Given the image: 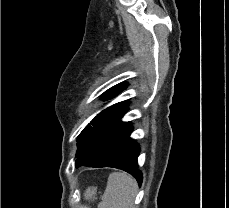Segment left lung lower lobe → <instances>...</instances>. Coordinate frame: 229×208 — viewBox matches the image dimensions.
<instances>
[{
  "label": "left lung lower lobe",
  "mask_w": 229,
  "mask_h": 208,
  "mask_svg": "<svg viewBox=\"0 0 229 208\" xmlns=\"http://www.w3.org/2000/svg\"><path fill=\"white\" fill-rule=\"evenodd\" d=\"M132 128L124 131L108 129L97 132L85 141L78 143L75 162L80 165L92 167H113L122 169L131 174L139 183L143 176L137 163L140 153L139 144L129 137Z\"/></svg>",
  "instance_id": "1"
}]
</instances>
